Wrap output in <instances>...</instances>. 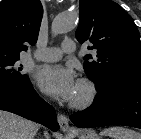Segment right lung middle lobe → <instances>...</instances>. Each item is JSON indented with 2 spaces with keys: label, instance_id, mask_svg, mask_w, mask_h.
Segmentation results:
<instances>
[{
  "label": "right lung middle lobe",
  "instance_id": "1",
  "mask_svg": "<svg viewBox=\"0 0 141 139\" xmlns=\"http://www.w3.org/2000/svg\"><path fill=\"white\" fill-rule=\"evenodd\" d=\"M18 60L19 56H0V86H16L29 81Z\"/></svg>",
  "mask_w": 141,
  "mask_h": 139
}]
</instances>
